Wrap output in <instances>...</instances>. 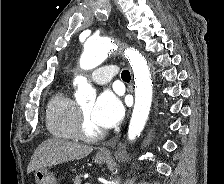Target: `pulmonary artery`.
<instances>
[{"instance_id": "obj_1", "label": "pulmonary artery", "mask_w": 224, "mask_h": 184, "mask_svg": "<svg viewBox=\"0 0 224 184\" xmlns=\"http://www.w3.org/2000/svg\"><path fill=\"white\" fill-rule=\"evenodd\" d=\"M116 74L114 66H103L91 73V79L97 84H105L111 81Z\"/></svg>"}]
</instances>
